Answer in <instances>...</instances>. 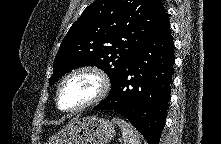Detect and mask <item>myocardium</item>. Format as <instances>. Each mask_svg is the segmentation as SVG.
Here are the masks:
<instances>
[{
	"mask_svg": "<svg viewBox=\"0 0 221 144\" xmlns=\"http://www.w3.org/2000/svg\"><path fill=\"white\" fill-rule=\"evenodd\" d=\"M84 73L91 74L94 77H96V79L98 80L99 88H98L96 95L91 100L79 106H76L74 108H70V109L62 108L60 106L59 99H60V93H61L63 86L72 77L79 75V74H84ZM110 86H111V83H110L109 76L100 67L93 66V65H86V66L78 67L72 70L71 72H69L59 83L57 90H56V95H55L56 106L59 110H61L62 112H66V113H72V112H78V111L84 110L86 108L92 107L100 103L108 95Z\"/></svg>",
	"mask_w": 221,
	"mask_h": 144,
	"instance_id": "1",
	"label": "myocardium"
}]
</instances>
